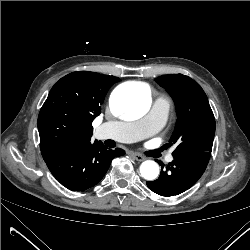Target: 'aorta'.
I'll return each instance as SVG.
<instances>
[{"instance_id": "obj_1", "label": "aorta", "mask_w": 250, "mask_h": 250, "mask_svg": "<svg viewBox=\"0 0 250 250\" xmlns=\"http://www.w3.org/2000/svg\"><path fill=\"white\" fill-rule=\"evenodd\" d=\"M150 106L151 94L143 85L119 87L110 98L112 113L126 120L141 118L149 111ZM140 173L144 179L154 180L159 174V166L155 161H144L140 166Z\"/></svg>"}]
</instances>
